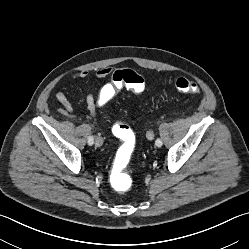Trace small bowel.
Here are the masks:
<instances>
[{"instance_id":"1","label":"small bowel","mask_w":249,"mask_h":249,"mask_svg":"<svg viewBox=\"0 0 249 249\" xmlns=\"http://www.w3.org/2000/svg\"><path fill=\"white\" fill-rule=\"evenodd\" d=\"M114 70L112 67H102L95 73V78L97 80H104L113 74ZM71 80L86 81L89 80V72L86 70L79 71L70 77ZM116 90L114 89L111 82L105 83L97 93L89 92L85 97V105L88 111L89 117L93 120H98L99 113L98 110L103 106L109 99L115 95ZM56 99L61 104L65 115L75 117V110L67 95L58 91L56 93Z\"/></svg>"}]
</instances>
